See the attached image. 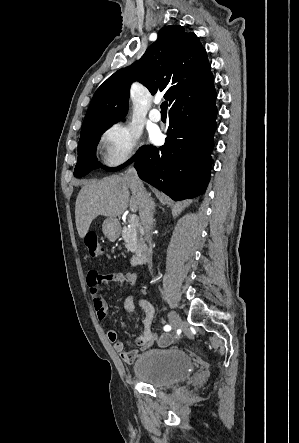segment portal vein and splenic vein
Instances as JSON below:
<instances>
[{
	"instance_id": "portal-vein-and-splenic-vein-1",
	"label": "portal vein and splenic vein",
	"mask_w": 299,
	"mask_h": 443,
	"mask_svg": "<svg viewBox=\"0 0 299 443\" xmlns=\"http://www.w3.org/2000/svg\"><path fill=\"white\" fill-rule=\"evenodd\" d=\"M129 222H130V224H135V223H138V218H137V216L136 215H131L130 216V219H129Z\"/></svg>"
}]
</instances>
